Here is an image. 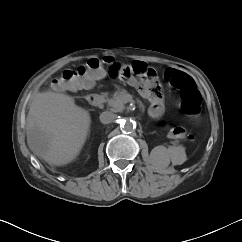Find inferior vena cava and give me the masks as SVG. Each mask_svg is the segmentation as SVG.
I'll list each match as a JSON object with an SVG mask.
<instances>
[{"label":"inferior vena cava","mask_w":242,"mask_h":242,"mask_svg":"<svg viewBox=\"0 0 242 242\" xmlns=\"http://www.w3.org/2000/svg\"><path fill=\"white\" fill-rule=\"evenodd\" d=\"M115 118H116V115L110 111H104L100 114V121L103 124H109L113 122Z\"/></svg>","instance_id":"1"}]
</instances>
